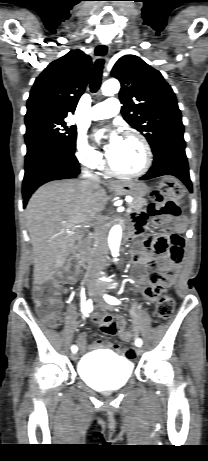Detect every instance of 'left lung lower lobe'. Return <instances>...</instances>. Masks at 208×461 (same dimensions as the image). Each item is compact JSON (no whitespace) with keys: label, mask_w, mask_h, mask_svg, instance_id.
<instances>
[{"label":"left lung lower lobe","mask_w":208,"mask_h":461,"mask_svg":"<svg viewBox=\"0 0 208 461\" xmlns=\"http://www.w3.org/2000/svg\"><path fill=\"white\" fill-rule=\"evenodd\" d=\"M153 166L140 180H148L163 175H172L179 178L192 192V183L189 176L185 141H169L153 152Z\"/></svg>","instance_id":"0a47b994"}]
</instances>
